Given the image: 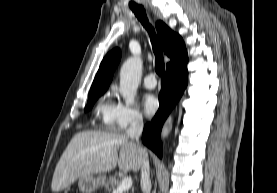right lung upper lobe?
<instances>
[{
    "label": "right lung upper lobe",
    "instance_id": "1",
    "mask_svg": "<svg viewBox=\"0 0 277 193\" xmlns=\"http://www.w3.org/2000/svg\"><path fill=\"white\" fill-rule=\"evenodd\" d=\"M156 29L158 36L162 42L164 52L171 59L168 65L187 54L185 44L180 35L174 33L162 21H158L156 23ZM120 58L121 53L120 50L117 48L110 51L104 57L93 81L89 94L95 92H104L108 88L113 78V72L119 63Z\"/></svg>",
    "mask_w": 277,
    "mask_h": 193
}]
</instances>
